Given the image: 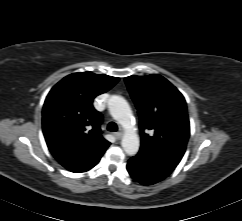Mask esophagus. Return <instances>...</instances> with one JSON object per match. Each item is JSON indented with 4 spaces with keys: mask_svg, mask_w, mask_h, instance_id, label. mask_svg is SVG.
Returning <instances> with one entry per match:
<instances>
[{
    "mask_svg": "<svg viewBox=\"0 0 242 221\" xmlns=\"http://www.w3.org/2000/svg\"><path fill=\"white\" fill-rule=\"evenodd\" d=\"M122 135H123L122 132H116V133H114L115 138L118 139V140L122 138Z\"/></svg>",
    "mask_w": 242,
    "mask_h": 221,
    "instance_id": "34e87169",
    "label": "esophagus"
}]
</instances>
